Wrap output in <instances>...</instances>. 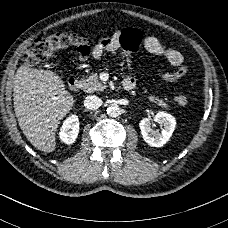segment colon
<instances>
[{"label":"colon","instance_id":"obj_1","mask_svg":"<svg viewBox=\"0 0 228 228\" xmlns=\"http://www.w3.org/2000/svg\"><path fill=\"white\" fill-rule=\"evenodd\" d=\"M66 49L80 57H88L91 52L90 42L85 37L68 32H54L35 40L25 54L26 62L38 65ZM174 99L179 105L187 103V97L179 90H176Z\"/></svg>","mask_w":228,"mask_h":228}]
</instances>
